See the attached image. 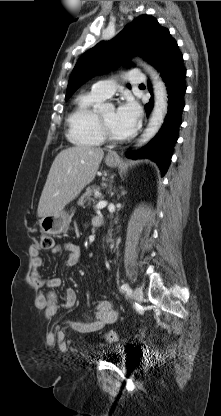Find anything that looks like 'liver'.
<instances>
[{"instance_id": "liver-1", "label": "liver", "mask_w": 221, "mask_h": 416, "mask_svg": "<svg viewBox=\"0 0 221 416\" xmlns=\"http://www.w3.org/2000/svg\"><path fill=\"white\" fill-rule=\"evenodd\" d=\"M103 156L101 148L84 145L62 150L51 165L39 200L38 216L58 213L73 201L94 180Z\"/></svg>"}]
</instances>
